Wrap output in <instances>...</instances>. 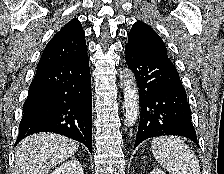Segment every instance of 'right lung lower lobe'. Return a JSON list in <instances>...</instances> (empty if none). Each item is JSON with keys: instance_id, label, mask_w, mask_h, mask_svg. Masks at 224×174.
Masks as SVG:
<instances>
[{"instance_id": "right-lung-lower-lobe-1", "label": "right lung lower lobe", "mask_w": 224, "mask_h": 174, "mask_svg": "<svg viewBox=\"0 0 224 174\" xmlns=\"http://www.w3.org/2000/svg\"><path fill=\"white\" fill-rule=\"evenodd\" d=\"M37 132H53L92 152V95L87 55L37 68L23 105L15 143Z\"/></svg>"}]
</instances>
